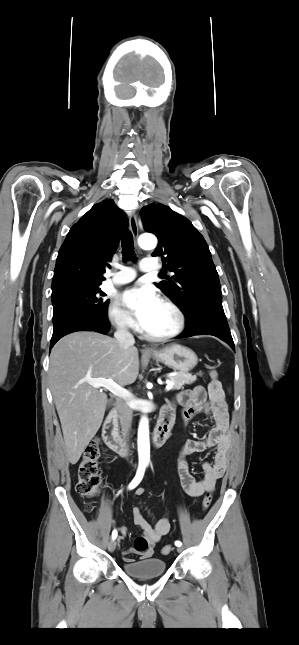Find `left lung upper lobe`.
<instances>
[{
  "label": "left lung upper lobe",
  "mask_w": 299,
  "mask_h": 645,
  "mask_svg": "<svg viewBox=\"0 0 299 645\" xmlns=\"http://www.w3.org/2000/svg\"><path fill=\"white\" fill-rule=\"evenodd\" d=\"M140 215L145 231L159 240L152 256L162 257V271L175 273L156 286L174 299L189 327H198L204 303L212 297H222L205 239L188 219L164 204L147 205Z\"/></svg>",
  "instance_id": "1"
}]
</instances>
